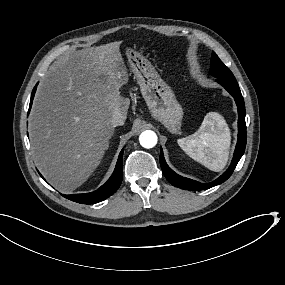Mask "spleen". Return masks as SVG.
Here are the masks:
<instances>
[{
    "label": "spleen",
    "mask_w": 285,
    "mask_h": 285,
    "mask_svg": "<svg viewBox=\"0 0 285 285\" xmlns=\"http://www.w3.org/2000/svg\"><path fill=\"white\" fill-rule=\"evenodd\" d=\"M230 141V132L223 117L209 112L196 133L178 139L177 143L191 158L218 172L227 163Z\"/></svg>",
    "instance_id": "1"
}]
</instances>
